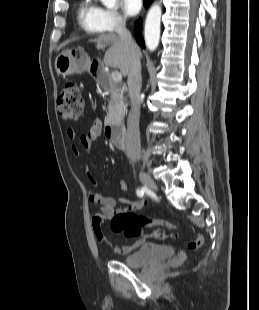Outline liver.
<instances>
[{"label": "liver", "mask_w": 259, "mask_h": 310, "mask_svg": "<svg viewBox=\"0 0 259 310\" xmlns=\"http://www.w3.org/2000/svg\"><path fill=\"white\" fill-rule=\"evenodd\" d=\"M91 42L96 43L97 49L110 45L104 56V64L120 69L121 74L126 77L130 67V51L116 34H102ZM139 57L141 53L137 50Z\"/></svg>", "instance_id": "liver-1"}]
</instances>
